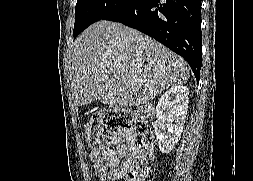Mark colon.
Returning <instances> with one entry per match:
<instances>
[{
  "instance_id": "obj_1",
  "label": "colon",
  "mask_w": 253,
  "mask_h": 181,
  "mask_svg": "<svg viewBox=\"0 0 253 181\" xmlns=\"http://www.w3.org/2000/svg\"><path fill=\"white\" fill-rule=\"evenodd\" d=\"M86 136L94 150L128 140L132 146L131 155L109 181H143L153 146L152 129L147 119L120 110L99 112L89 122Z\"/></svg>"
}]
</instances>
